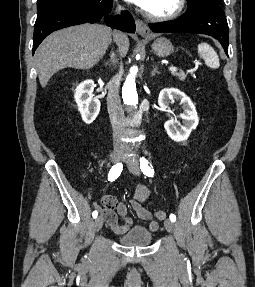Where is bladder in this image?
<instances>
[{"instance_id": "1", "label": "bladder", "mask_w": 255, "mask_h": 287, "mask_svg": "<svg viewBox=\"0 0 255 287\" xmlns=\"http://www.w3.org/2000/svg\"><path fill=\"white\" fill-rule=\"evenodd\" d=\"M152 233L146 227L136 225L118 237L120 244L128 247L146 246L152 241Z\"/></svg>"}]
</instances>
